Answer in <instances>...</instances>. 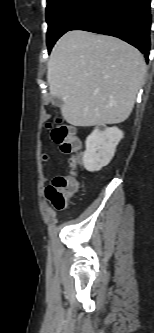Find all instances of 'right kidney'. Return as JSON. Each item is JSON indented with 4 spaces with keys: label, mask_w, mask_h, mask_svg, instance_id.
Instances as JSON below:
<instances>
[{
    "label": "right kidney",
    "mask_w": 154,
    "mask_h": 333,
    "mask_svg": "<svg viewBox=\"0 0 154 333\" xmlns=\"http://www.w3.org/2000/svg\"><path fill=\"white\" fill-rule=\"evenodd\" d=\"M123 135V132L117 127H96L85 142L83 165L86 170L96 172L108 165L114 157L116 147Z\"/></svg>",
    "instance_id": "right-kidney-1"
}]
</instances>
